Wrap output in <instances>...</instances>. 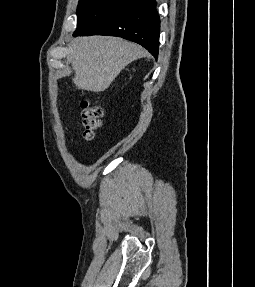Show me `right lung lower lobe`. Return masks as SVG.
<instances>
[{"instance_id": "obj_1", "label": "right lung lower lobe", "mask_w": 255, "mask_h": 287, "mask_svg": "<svg viewBox=\"0 0 255 287\" xmlns=\"http://www.w3.org/2000/svg\"><path fill=\"white\" fill-rule=\"evenodd\" d=\"M160 18L154 0H138L122 6L83 32L73 36H118L142 45L158 56Z\"/></svg>"}]
</instances>
